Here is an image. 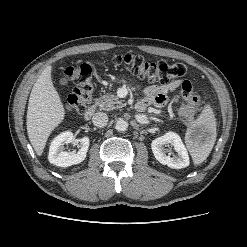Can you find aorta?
<instances>
[{"mask_svg": "<svg viewBox=\"0 0 247 247\" xmlns=\"http://www.w3.org/2000/svg\"><path fill=\"white\" fill-rule=\"evenodd\" d=\"M128 128V122L124 119H118L115 124V129L118 132H125Z\"/></svg>", "mask_w": 247, "mask_h": 247, "instance_id": "obj_1", "label": "aorta"}]
</instances>
